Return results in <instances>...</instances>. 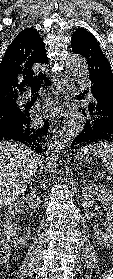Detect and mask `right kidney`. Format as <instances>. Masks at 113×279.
<instances>
[{"label":"right kidney","mask_w":113,"mask_h":279,"mask_svg":"<svg viewBox=\"0 0 113 279\" xmlns=\"http://www.w3.org/2000/svg\"><path fill=\"white\" fill-rule=\"evenodd\" d=\"M40 194L33 190L26 196H22L17 199L14 203L10 204L8 208V212L6 215V230L9 232L11 236V243L15 248L21 249L27 246L28 241L31 238V230L29 227L24 228L19 232L18 219L19 214L22 212L24 207V201L32 208L35 209L39 207L40 203Z\"/></svg>","instance_id":"obj_1"}]
</instances>
